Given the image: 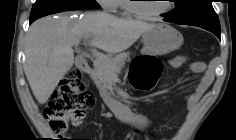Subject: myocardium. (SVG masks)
<instances>
[{
    "label": "myocardium",
    "mask_w": 236,
    "mask_h": 140,
    "mask_svg": "<svg viewBox=\"0 0 236 140\" xmlns=\"http://www.w3.org/2000/svg\"><path fill=\"white\" fill-rule=\"evenodd\" d=\"M171 1L172 0L168 1V5L164 10L159 11V12H154V13L144 12L143 10L140 9L138 4L136 2H134V0L128 1L127 8L134 16H136L140 19L150 20V19L158 18V17L168 13L169 11H171L173 8V4L171 3Z\"/></svg>",
    "instance_id": "1"
}]
</instances>
